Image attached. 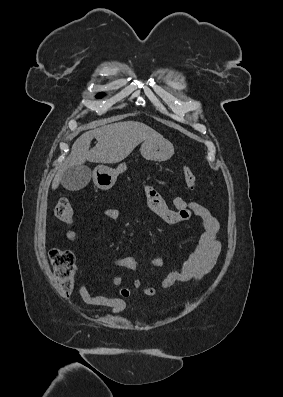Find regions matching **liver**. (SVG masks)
Instances as JSON below:
<instances>
[{
    "mask_svg": "<svg viewBox=\"0 0 283 397\" xmlns=\"http://www.w3.org/2000/svg\"><path fill=\"white\" fill-rule=\"evenodd\" d=\"M93 138L97 144L89 150ZM163 138L144 123L123 121L105 125L82 134L73 144L71 153L63 163L52 183L55 190L62 174L69 167L79 166L86 161L93 163H117L125 159L141 142Z\"/></svg>",
    "mask_w": 283,
    "mask_h": 397,
    "instance_id": "liver-1",
    "label": "liver"
}]
</instances>
